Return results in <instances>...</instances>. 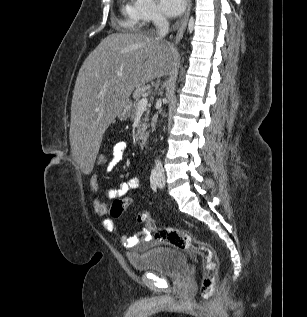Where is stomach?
Here are the masks:
<instances>
[{
    "instance_id": "obj_1",
    "label": "stomach",
    "mask_w": 307,
    "mask_h": 317,
    "mask_svg": "<svg viewBox=\"0 0 307 317\" xmlns=\"http://www.w3.org/2000/svg\"><path fill=\"white\" fill-rule=\"evenodd\" d=\"M132 108L131 101L128 99L125 102L120 105L116 116L119 118V120H126L129 115Z\"/></svg>"
}]
</instances>
